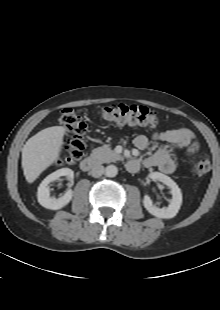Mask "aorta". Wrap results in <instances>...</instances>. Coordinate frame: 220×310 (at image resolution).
I'll use <instances>...</instances> for the list:
<instances>
[{
	"label": "aorta",
	"mask_w": 220,
	"mask_h": 310,
	"mask_svg": "<svg viewBox=\"0 0 220 310\" xmlns=\"http://www.w3.org/2000/svg\"><path fill=\"white\" fill-rule=\"evenodd\" d=\"M118 173V169L115 165H108L105 169V175L107 177H115Z\"/></svg>",
	"instance_id": "1"
}]
</instances>
